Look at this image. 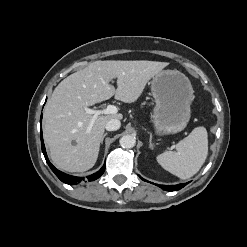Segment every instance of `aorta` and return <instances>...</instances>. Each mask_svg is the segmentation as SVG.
<instances>
[{"instance_id": "1", "label": "aorta", "mask_w": 247, "mask_h": 247, "mask_svg": "<svg viewBox=\"0 0 247 247\" xmlns=\"http://www.w3.org/2000/svg\"><path fill=\"white\" fill-rule=\"evenodd\" d=\"M119 143L122 148L130 149L133 148L136 144L135 136L131 134L124 135L120 138Z\"/></svg>"}]
</instances>
